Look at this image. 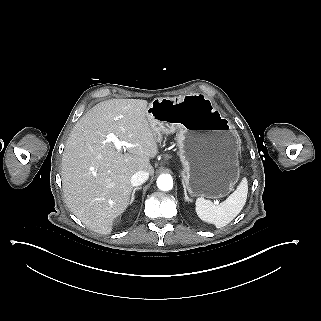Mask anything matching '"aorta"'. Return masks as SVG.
<instances>
[{"label":"aorta","instance_id":"1","mask_svg":"<svg viewBox=\"0 0 321 321\" xmlns=\"http://www.w3.org/2000/svg\"><path fill=\"white\" fill-rule=\"evenodd\" d=\"M157 187L162 191H169L173 188V179L169 174H162L157 179Z\"/></svg>","mask_w":321,"mask_h":321}]
</instances>
